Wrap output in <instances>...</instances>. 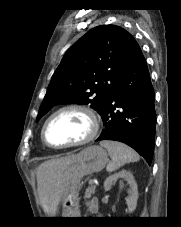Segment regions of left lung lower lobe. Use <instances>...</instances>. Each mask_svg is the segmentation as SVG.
<instances>
[{
	"label": "left lung lower lobe",
	"mask_w": 181,
	"mask_h": 227,
	"mask_svg": "<svg viewBox=\"0 0 181 227\" xmlns=\"http://www.w3.org/2000/svg\"><path fill=\"white\" fill-rule=\"evenodd\" d=\"M102 118L105 130L98 141L123 142L150 164L155 145L156 112L154 89L140 48L115 86Z\"/></svg>",
	"instance_id": "left-lung-lower-lobe-1"
}]
</instances>
